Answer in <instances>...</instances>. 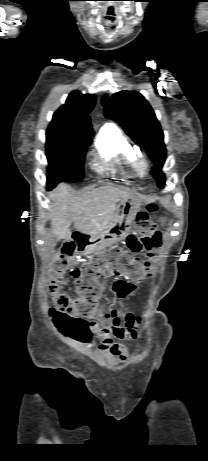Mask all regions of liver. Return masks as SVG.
Wrapping results in <instances>:
<instances>
[{
	"label": "liver",
	"mask_w": 208,
	"mask_h": 461,
	"mask_svg": "<svg viewBox=\"0 0 208 461\" xmlns=\"http://www.w3.org/2000/svg\"><path fill=\"white\" fill-rule=\"evenodd\" d=\"M52 233L57 239L70 240L69 229L85 235L95 236L105 231L115 217L116 203L132 194L113 186H103L76 195L66 184L58 185L49 195Z\"/></svg>",
	"instance_id": "obj_1"
}]
</instances>
